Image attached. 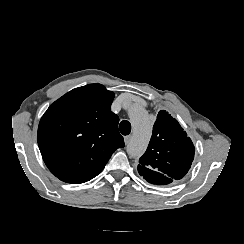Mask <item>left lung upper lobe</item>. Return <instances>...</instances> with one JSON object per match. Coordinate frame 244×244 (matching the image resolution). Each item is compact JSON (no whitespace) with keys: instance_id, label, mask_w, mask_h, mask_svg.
<instances>
[{"instance_id":"1","label":"left lung upper lobe","mask_w":244,"mask_h":244,"mask_svg":"<svg viewBox=\"0 0 244 244\" xmlns=\"http://www.w3.org/2000/svg\"><path fill=\"white\" fill-rule=\"evenodd\" d=\"M195 148L187 133L168 112L161 110L152 137L139 159L138 172L149 183L167 185L181 180L194 159Z\"/></svg>"}]
</instances>
